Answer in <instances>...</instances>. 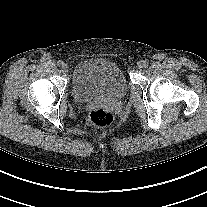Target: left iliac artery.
Returning <instances> with one entry per match:
<instances>
[{
    "label": "left iliac artery",
    "instance_id": "44dca946",
    "mask_svg": "<svg viewBox=\"0 0 207 207\" xmlns=\"http://www.w3.org/2000/svg\"><path fill=\"white\" fill-rule=\"evenodd\" d=\"M142 62L144 63V66H145V67L148 66V61H147V60H143Z\"/></svg>",
    "mask_w": 207,
    "mask_h": 207
}]
</instances>
